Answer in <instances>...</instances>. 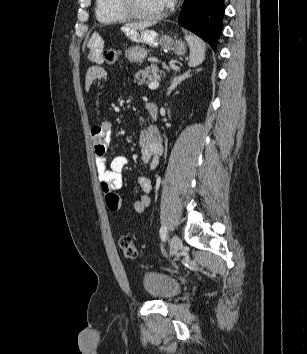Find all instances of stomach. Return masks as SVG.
<instances>
[{"mask_svg":"<svg viewBox=\"0 0 307 354\" xmlns=\"http://www.w3.org/2000/svg\"><path fill=\"white\" fill-rule=\"evenodd\" d=\"M138 38H130L136 43H144L150 46H161L163 49L173 51L177 55H183L186 52V46L181 40H173L169 35H158L154 31L143 30L138 32ZM125 56L130 62H142L147 57V50L141 46H132L125 51Z\"/></svg>","mask_w":307,"mask_h":354,"instance_id":"obj_1","label":"stomach"}]
</instances>
